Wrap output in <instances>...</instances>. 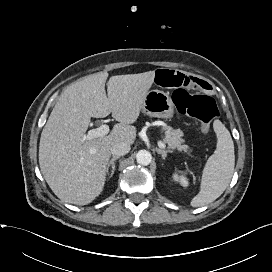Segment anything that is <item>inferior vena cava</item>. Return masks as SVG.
Wrapping results in <instances>:
<instances>
[{"label": "inferior vena cava", "instance_id": "1", "mask_svg": "<svg viewBox=\"0 0 272 272\" xmlns=\"http://www.w3.org/2000/svg\"><path fill=\"white\" fill-rule=\"evenodd\" d=\"M110 151L113 156L120 157V156L127 154L130 151V145L125 142H119V143L114 144L111 147Z\"/></svg>", "mask_w": 272, "mask_h": 272}]
</instances>
